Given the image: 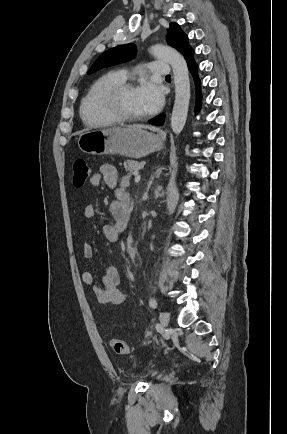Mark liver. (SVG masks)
I'll use <instances>...</instances> for the list:
<instances>
[{
  "label": "liver",
  "mask_w": 287,
  "mask_h": 434,
  "mask_svg": "<svg viewBox=\"0 0 287 434\" xmlns=\"http://www.w3.org/2000/svg\"><path fill=\"white\" fill-rule=\"evenodd\" d=\"M143 128H144V127L141 126V125H134V126L127 127V128H125V129H135V130H137V129H143Z\"/></svg>",
  "instance_id": "6515ba94"
}]
</instances>
